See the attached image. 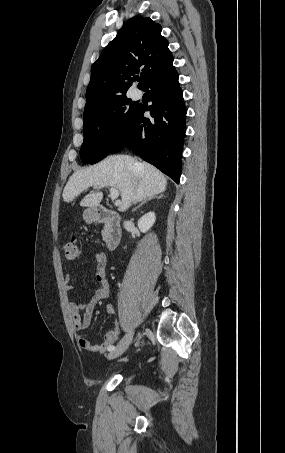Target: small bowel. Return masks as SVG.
Instances as JSON below:
<instances>
[{
  "mask_svg": "<svg viewBox=\"0 0 285 453\" xmlns=\"http://www.w3.org/2000/svg\"><path fill=\"white\" fill-rule=\"evenodd\" d=\"M92 258L96 264L95 277L99 286L88 300H77L73 302L70 306V313L73 328L77 333L76 340L78 345L90 353H104L118 340L120 328L117 321L115 327L105 334L104 340L99 344L91 343L81 334L82 331L89 328L92 321V313L98 301L107 298L110 294V284L106 275L107 257L103 252H96L92 255ZM67 288L68 290H72L73 286L68 285ZM105 311L108 315H112L114 313V307L108 304Z\"/></svg>",
  "mask_w": 285,
  "mask_h": 453,
  "instance_id": "c3829d8e",
  "label": "small bowel"
}]
</instances>
